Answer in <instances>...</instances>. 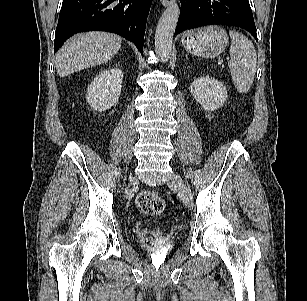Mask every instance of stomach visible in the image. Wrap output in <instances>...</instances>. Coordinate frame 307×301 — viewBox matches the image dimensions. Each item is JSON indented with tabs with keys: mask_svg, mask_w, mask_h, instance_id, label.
I'll use <instances>...</instances> for the list:
<instances>
[{
	"mask_svg": "<svg viewBox=\"0 0 307 301\" xmlns=\"http://www.w3.org/2000/svg\"><path fill=\"white\" fill-rule=\"evenodd\" d=\"M185 50L196 56L211 58L220 55L228 44L226 31L215 25L190 30L182 36Z\"/></svg>",
	"mask_w": 307,
	"mask_h": 301,
	"instance_id": "obj_1",
	"label": "stomach"
}]
</instances>
